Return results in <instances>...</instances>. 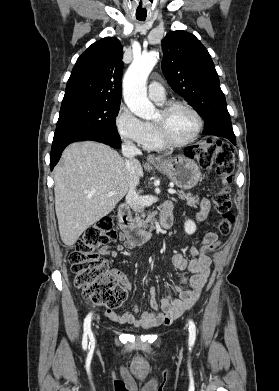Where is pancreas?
<instances>
[{"mask_svg": "<svg viewBox=\"0 0 279 391\" xmlns=\"http://www.w3.org/2000/svg\"><path fill=\"white\" fill-rule=\"evenodd\" d=\"M178 196H179L180 199L186 200L187 201V205H189L191 207H195L196 204L199 203V198L197 196H192L190 193L185 194V193L180 191ZM142 217L144 218L145 216L142 215ZM153 220H154V214L153 213H149L145 220H141V217H139V216L136 217L137 225L142 227V228H147L148 223L152 222Z\"/></svg>", "mask_w": 279, "mask_h": 391, "instance_id": "cf45deb5", "label": "pancreas"}]
</instances>
